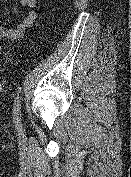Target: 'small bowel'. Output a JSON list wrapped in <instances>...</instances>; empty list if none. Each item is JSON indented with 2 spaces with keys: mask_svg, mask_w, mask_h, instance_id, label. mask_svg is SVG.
Returning <instances> with one entry per match:
<instances>
[{
  "mask_svg": "<svg viewBox=\"0 0 131 177\" xmlns=\"http://www.w3.org/2000/svg\"><path fill=\"white\" fill-rule=\"evenodd\" d=\"M20 3L25 9L26 15L21 22L12 27L4 28L0 26V40H18L24 36L26 30L33 24L36 18L34 8L37 0H20Z\"/></svg>",
  "mask_w": 131,
  "mask_h": 177,
  "instance_id": "small-bowel-1",
  "label": "small bowel"
}]
</instances>
